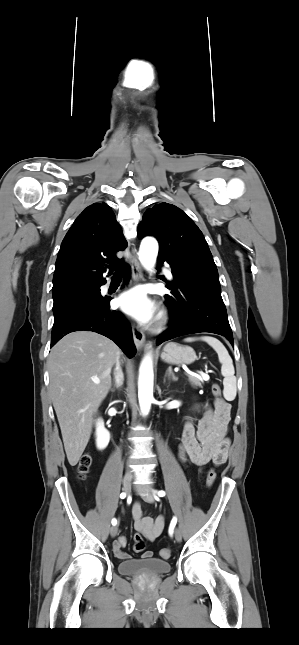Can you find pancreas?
<instances>
[{"label": "pancreas", "mask_w": 299, "mask_h": 645, "mask_svg": "<svg viewBox=\"0 0 299 645\" xmlns=\"http://www.w3.org/2000/svg\"><path fill=\"white\" fill-rule=\"evenodd\" d=\"M208 379H205L203 376L202 378L196 377V376H189V381L191 382L192 385L194 386H201V382L203 381H208Z\"/></svg>", "instance_id": "cf45deb5"}]
</instances>
